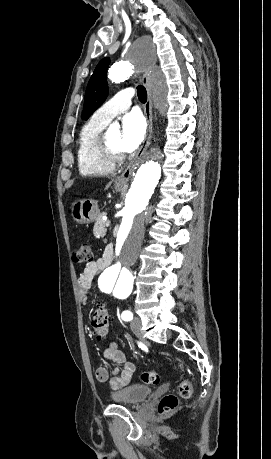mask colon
I'll use <instances>...</instances> for the list:
<instances>
[{"label":"colon","instance_id":"1","mask_svg":"<svg viewBox=\"0 0 271 459\" xmlns=\"http://www.w3.org/2000/svg\"><path fill=\"white\" fill-rule=\"evenodd\" d=\"M93 260L92 249L87 242H82L79 247L73 252V261L76 263L91 262ZM91 326L94 333L103 338L109 331V316L105 305H98L91 317ZM141 380L147 384H158L160 377L154 371L142 373ZM179 395L183 398H188L192 394V386L188 380H184L178 387ZM178 406V398L174 394L165 395L159 402L158 409L161 414H169Z\"/></svg>","mask_w":271,"mask_h":459}]
</instances>
